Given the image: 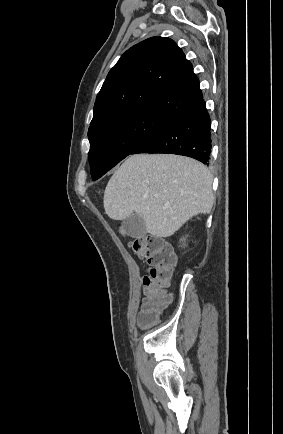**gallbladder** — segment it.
<instances>
[{
	"mask_svg": "<svg viewBox=\"0 0 283 434\" xmlns=\"http://www.w3.org/2000/svg\"><path fill=\"white\" fill-rule=\"evenodd\" d=\"M121 228L132 238H141L147 233L143 218L136 213L123 220Z\"/></svg>",
	"mask_w": 283,
	"mask_h": 434,
	"instance_id": "obj_1",
	"label": "gallbladder"
}]
</instances>
